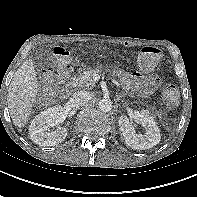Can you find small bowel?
Segmentation results:
<instances>
[{
	"label": "small bowel",
	"instance_id": "obj_1",
	"mask_svg": "<svg viewBox=\"0 0 197 197\" xmlns=\"http://www.w3.org/2000/svg\"><path fill=\"white\" fill-rule=\"evenodd\" d=\"M121 81L123 85L142 96L151 95L159 85V78L156 75L146 76L140 72L131 75L122 74Z\"/></svg>",
	"mask_w": 197,
	"mask_h": 197
}]
</instances>
